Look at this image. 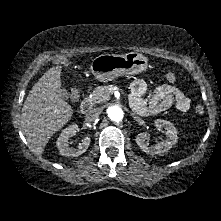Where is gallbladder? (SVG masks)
<instances>
[{
    "instance_id": "obj_1",
    "label": "gallbladder",
    "mask_w": 221,
    "mask_h": 221,
    "mask_svg": "<svg viewBox=\"0 0 221 221\" xmlns=\"http://www.w3.org/2000/svg\"><path fill=\"white\" fill-rule=\"evenodd\" d=\"M60 96H61L64 100H67V99L69 98V94H68V92H67L66 89H61Z\"/></svg>"
}]
</instances>
